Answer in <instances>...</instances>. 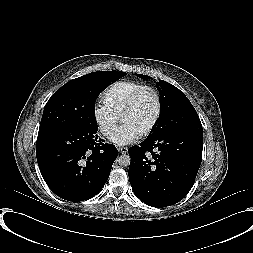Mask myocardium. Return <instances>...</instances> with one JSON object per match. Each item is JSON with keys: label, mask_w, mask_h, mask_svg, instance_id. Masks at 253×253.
Wrapping results in <instances>:
<instances>
[{"label": "myocardium", "mask_w": 253, "mask_h": 253, "mask_svg": "<svg viewBox=\"0 0 253 253\" xmlns=\"http://www.w3.org/2000/svg\"><path fill=\"white\" fill-rule=\"evenodd\" d=\"M144 92H152L156 98V112L154 115V118L150 125L141 132V136H147L149 135L154 128L156 127L161 113H162V98L160 95V92L153 86L145 85L136 90L126 101L125 105L123 106L121 112H120V119L123 120L124 116L135 106L136 102L138 101L139 97L144 93Z\"/></svg>", "instance_id": "obj_1"}]
</instances>
